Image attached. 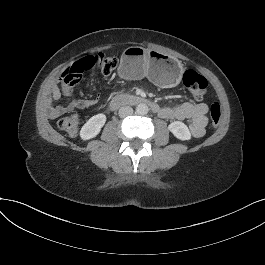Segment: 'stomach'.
<instances>
[{
	"label": "stomach",
	"mask_w": 265,
	"mask_h": 265,
	"mask_svg": "<svg viewBox=\"0 0 265 265\" xmlns=\"http://www.w3.org/2000/svg\"><path fill=\"white\" fill-rule=\"evenodd\" d=\"M183 67L181 62L164 52L143 47H129L121 56L119 75L125 79L147 77L161 87H175L179 84Z\"/></svg>",
	"instance_id": "stomach-1"
}]
</instances>
